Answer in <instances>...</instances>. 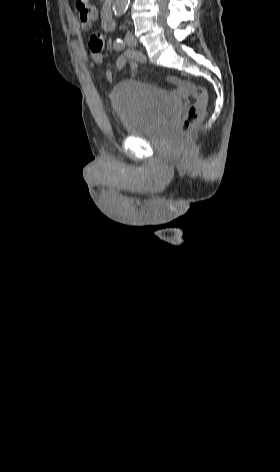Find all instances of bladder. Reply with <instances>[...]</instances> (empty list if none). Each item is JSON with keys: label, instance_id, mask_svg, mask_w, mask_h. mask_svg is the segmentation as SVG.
Here are the masks:
<instances>
[{"label": "bladder", "instance_id": "bladder-1", "mask_svg": "<svg viewBox=\"0 0 280 472\" xmlns=\"http://www.w3.org/2000/svg\"><path fill=\"white\" fill-rule=\"evenodd\" d=\"M111 106L124 133L136 137L153 132L170 119L180 101L158 86L127 80L114 88Z\"/></svg>", "mask_w": 280, "mask_h": 472}]
</instances>
